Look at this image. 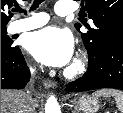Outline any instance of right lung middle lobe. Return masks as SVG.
Here are the masks:
<instances>
[{"label":"right lung middle lobe","instance_id":"1","mask_svg":"<svg viewBox=\"0 0 123 113\" xmlns=\"http://www.w3.org/2000/svg\"><path fill=\"white\" fill-rule=\"evenodd\" d=\"M12 43V39L7 35V28L1 27V49L10 50L14 48Z\"/></svg>","mask_w":123,"mask_h":113}]
</instances>
